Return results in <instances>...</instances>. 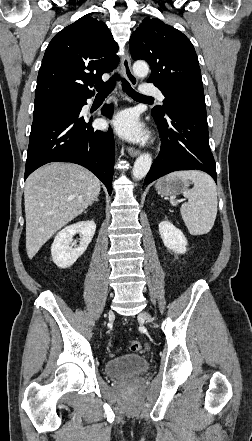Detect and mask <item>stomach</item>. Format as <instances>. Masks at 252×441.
<instances>
[{
  "mask_svg": "<svg viewBox=\"0 0 252 441\" xmlns=\"http://www.w3.org/2000/svg\"><path fill=\"white\" fill-rule=\"evenodd\" d=\"M190 185L189 181L182 179L162 178L156 183V190L161 195L175 196L183 192Z\"/></svg>",
  "mask_w": 252,
  "mask_h": 441,
  "instance_id": "0dacf381",
  "label": "stomach"
}]
</instances>
